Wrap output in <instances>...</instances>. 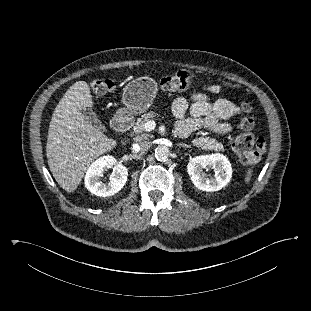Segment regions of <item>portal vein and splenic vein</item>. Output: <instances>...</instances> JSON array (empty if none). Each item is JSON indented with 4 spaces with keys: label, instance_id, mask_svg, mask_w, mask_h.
I'll use <instances>...</instances> for the list:
<instances>
[{
    "label": "portal vein and splenic vein",
    "instance_id": "18ae733b",
    "mask_svg": "<svg viewBox=\"0 0 311 311\" xmlns=\"http://www.w3.org/2000/svg\"><path fill=\"white\" fill-rule=\"evenodd\" d=\"M156 123L155 121H148L145 125H144V129L145 131H151L155 128Z\"/></svg>",
    "mask_w": 311,
    "mask_h": 311
}]
</instances>
